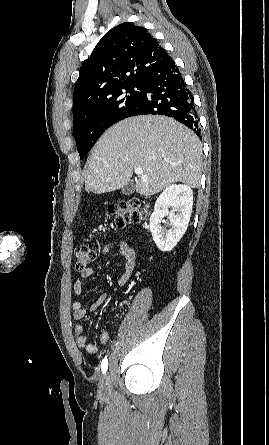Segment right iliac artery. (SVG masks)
Instances as JSON below:
<instances>
[{"mask_svg":"<svg viewBox=\"0 0 269 445\" xmlns=\"http://www.w3.org/2000/svg\"><path fill=\"white\" fill-rule=\"evenodd\" d=\"M107 368H108V360L106 358H104L101 362L102 373H106Z\"/></svg>","mask_w":269,"mask_h":445,"instance_id":"82829eb1","label":"right iliac artery"}]
</instances>
